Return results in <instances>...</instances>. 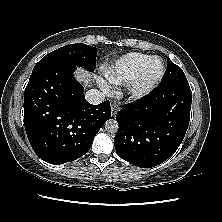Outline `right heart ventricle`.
<instances>
[{
    "instance_id": "right-heart-ventricle-1",
    "label": "right heart ventricle",
    "mask_w": 222,
    "mask_h": 222,
    "mask_svg": "<svg viewBox=\"0 0 222 222\" xmlns=\"http://www.w3.org/2000/svg\"><path fill=\"white\" fill-rule=\"evenodd\" d=\"M152 56L142 53H128L106 66L104 73L113 84L123 85L134 80Z\"/></svg>"
}]
</instances>
